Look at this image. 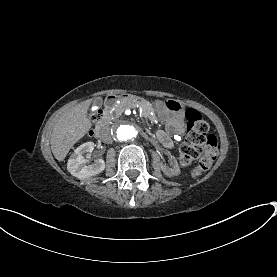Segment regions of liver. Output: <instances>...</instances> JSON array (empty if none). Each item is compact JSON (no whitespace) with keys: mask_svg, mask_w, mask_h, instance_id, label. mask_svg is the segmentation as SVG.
<instances>
[{"mask_svg":"<svg viewBox=\"0 0 277 277\" xmlns=\"http://www.w3.org/2000/svg\"><path fill=\"white\" fill-rule=\"evenodd\" d=\"M93 99H87L65 112L56 122L51 138V151L58 162H63L71 148L90 131L92 124L87 112Z\"/></svg>","mask_w":277,"mask_h":277,"instance_id":"liver-1","label":"liver"}]
</instances>
